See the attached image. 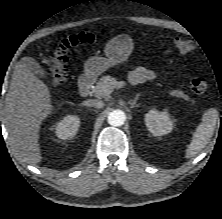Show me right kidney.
Listing matches in <instances>:
<instances>
[{"label":"right kidney","mask_w":222,"mask_h":219,"mask_svg":"<svg viewBox=\"0 0 222 219\" xmlns=\"http://www.w3.org/2000/svg\"><path fill=\"white\" fill-rule=\"evenodd\" d=\"M80 126V119L75 115H67L60 122L54 125L56 136L61 140L74 137Z\"/></svg>","instance_id":"right-kidney-1"}]
</instances>
